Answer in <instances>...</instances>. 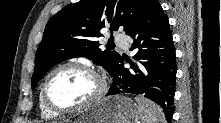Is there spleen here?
Listing matches in <instances>:
<instances>
[{"label":"spleen","instance_id":"obj_1","mask_svg":"<svg viewBox=\"0 0 221 123\" xmlns=\"http://www.w3.org/2000/svg\"><path fill=\"white\" fill-rule=\"evenodd\" d=\"M138 104L140 123H166L165 115L161 108L154 102L135 97Z\"/></svg>","mask_w":221,"mask_h":123}]
</instances>
